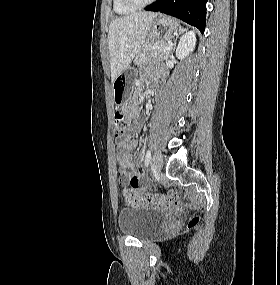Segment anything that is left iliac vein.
Returning <instances> with one entry per match:
<instances>
[{"label":"left iliac vein","instance_id":"1","mask_svg":"<svg viewBox=\"0 0 280 285\" xmlns=\"http://www.w3.org/2000/svg\"><path fill=\"white\" fill-rule=\"evenodd\" d=\"M163 167V158L159 151H156L153 155L152 168L155 173H159Z\"/></svg>","mask_w":280,"mask_h":285}]
</instances>
